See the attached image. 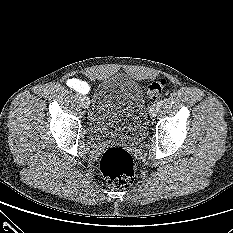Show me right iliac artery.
<instances>
[{
	"label": "right iliac artery",
	"instance_id": "obj_1",
	"mask_svg": "<svg viewBox=\"0 0 233 233\" xmlns=\"http://www.w3.org/2000/svg\"><path fill=\"white\" fill-rule=\"evenodd\" d=\"M75 98H76L77 100H80V99H81V95H80V94H76Z\"/></svg>",
	"mask_w": 233,
	"mask_h": 233
}]
</instances>
